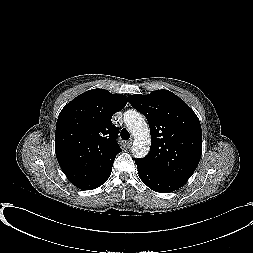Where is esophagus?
Wrapping results in <instances>:
<instances>
[{
	"instance_id": "obj_1",
	"label": "esophagus",
	"mask_w": 253,
	"mask_h": 253,
	"mask_svg": "<svg viewBox=\"0 0 253 253\" xmlns=\"http://www.w3.org/2000/svg\"><path fill=\"white\" fill-rule=\"evenodd\" d=\"M127 146L130 148L132 146V139H130L128 142H127Z\"/></svg>"
}]
</instances>
